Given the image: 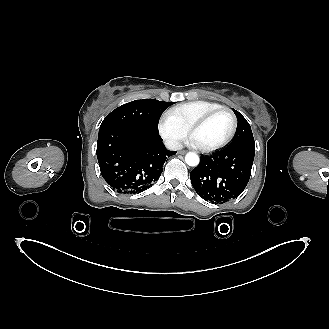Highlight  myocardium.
<instances>
[{
    "mask_svg": "<svg viewBox=\"0 0 329 329\" xmlns=\"http://www.w3.org/2000/svg\"><path fill=\"white\" fill-rule=\"evenodd\" d=\"M222 112H226L230 115L231 120H232V127L231 130L228 134V136L221 141L218 144L215 145H211V146H199L196 145V148L202 152H212L215 150H218L224 146H226L234 137L236 130H237V117L235 115V113L233 112L232 109H230L229 107H220L218 109H215L213 111H210L209 113H207L206 115H204L203 117H201L200 119L196 120L193 124H191V126L189 127V136L192 137L193 133L195 132L196 129H198L199 127L203 126L205 123H207L211 118H213L214 116L218 115L219 113Z\"/></svg>",
    "mask_w": 329,
    "mask_h": 329,
    "instance_id": "f54148a6",
    "label": "myocardium"
}]
</instances>
